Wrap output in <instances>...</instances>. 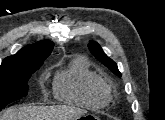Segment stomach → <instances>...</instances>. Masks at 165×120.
<instances>
[{
    "mask_svg": "<svg viewBox=\"0 0 165 120\" xmlns=\"http://www.w3.org/2000/svg\"><path fill=\"white\" fill-rule=\"evenodd\" d=\"M80 119V120H88V119H99L96 115L94 114H90V113H83L79 116L76 117V120Z\"/></svg>",
    "mask_w": 165,
    "mask_h": 120,
    "instance_id": "obj_1",
    "label": "stomach"
}]
</instances>
